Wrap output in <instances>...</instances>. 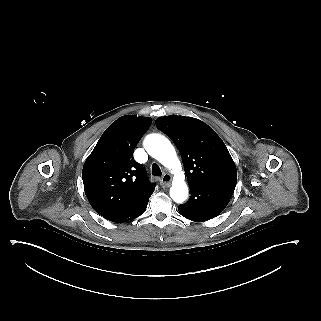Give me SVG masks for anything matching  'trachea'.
Listing matches in <instances>:
<instances>
[{
    "label": "trachea",
    "instance_id": "obj_1",
    "mask_svg": "<svg viewBox=\"0 0 321 321\" xmlns=\"http://www.w3.org/2000/svg\"><path fill=\"white\" fill-rule=\"evenodd\" d=\"M152 175L158 177L162 175L161 169L157 164L152 165Z\"/></svg>",
    "mask_w": 321,
    "mask_h": 321
}]
</instances>
